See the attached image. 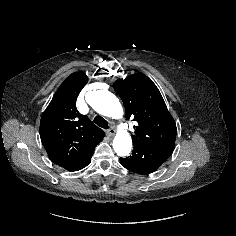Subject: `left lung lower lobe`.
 Masks as SVG:
<instances>
[{
  "label": "left lung lower lobe",
  "mask_w": 236,
  "mask_h": 236,
  "mask_svg": "<svg viewBox=\"0 0 236 236\" xmlns=\"http://www.w3.org/2000/svg\"><path fill=\"white\" fill-rule=\"evenodd\" d=\"M174 145L134 144L132 155L120 158V163L129 171L140 175L155 172L173 153Z\"/></svg>",
  "instance_id": "obj_1"
}]
</instances>
